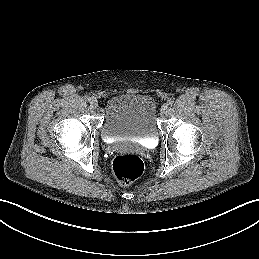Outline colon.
<instances>
[{
	"mask_svg": "<svg viewBox=\"0 0 259 259\" xmlns=\"http://www.w3.org/2000/svg\"><path fill=\"white\" fill-rule=\"evenodd\" d=\"M112 171L121 185H128L141 176L143 162L136 154H119L113 160Z\"/></svg>",
	"mask_w": 259,
	"mask_h": 259,
	"instance_id": "colon-1",
	"label": "colon"
}]
</instances>
